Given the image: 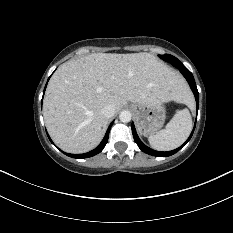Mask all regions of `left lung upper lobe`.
Instances as JSON below:
<instances>
[{"mask_svg":"<svg viewBox=\"0 0 233 233\" xmlns=\"http://www.w3.org/2000/svg\"><path fill=\"white\" fill-rule=\"evenodd\" d=\"M159 57L169 63H171L173 66H174V63H177L179 62V60L172 56V55H169V54H166V55H159Z\"/></svg>","mask_w":233,"mask_h":233,"instance_id":"obj_1","label":"left lung upper lobe"}]
</instances>
